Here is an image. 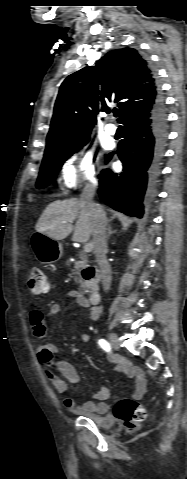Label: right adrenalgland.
<instances>
[{"instance_id": "1", "label": "right adrenal gland", "mask_w": 187, "mask_h": 479, "mask_svg": "<svg viewBox=\"0 0 187 479\" xmlns=\"http://www.w3.org/2000/svg\"><path fill=\"white\" fill-rule=\"evenodd\" d=\"M107 231H108V232H107V238H109V237H110V236H111L113 233H115V231H112V229H111V226H110V225L108 226V229H107Z\"/></svg>"}]
</instances>
